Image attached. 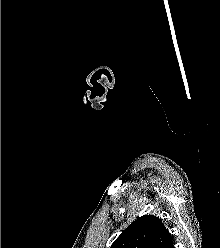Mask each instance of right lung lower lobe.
I'll list each match as a JSON object with an SVG mask.
<instances>
[{"label": "right lung lower lobe", "instance_id": "1", "mask_svg": "<svg viewBox=\"0 0 220 248\" xmlns=\"http://www.w3.org/2000/svg\"><path fill=\"white\" fill-rule=\"evenodd\" d=\"M168 248H174L173 242L168 246Z\"/></svg>", "mask_w": 220, "mask_h": 248}]
</instances>
